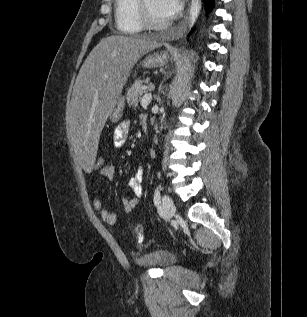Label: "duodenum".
<instances>
[{
	"instance_id": "duodenum-1",
	"label": "duodenum",
	"mask_w": 307,
	"mask_h": 317,
	"mask_svg": "<svg viewBox=\"0 0 307 317\" xmlns=\"http://www.w3.org/2000/svg\"><path fill=\"white\" fill-rule=\"evenodd\" d=\"M141 128H142L143 132H146L148 130V121H147L146 117L141 118Z\"/></svg>"
}]
</instances>
